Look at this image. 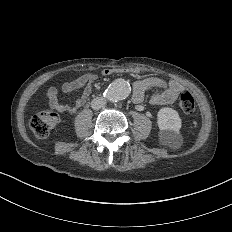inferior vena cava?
Here are the masks:
<instances>
[{"label": "inferior vena cava", "instance_id": "inferior-vena-cava-1", "mask_svg": "<svg viewBox=\"0 0 232 232\" xmlns=\"http://www.w3.org/2000/svg\"><path fill=\"white\" fill-rule=\"evenodd\" d=\"M107 106V101L103 97H98L92 100L91 107L95 111H101Z\"/></svg>", "mask_w": 232, "mask_h": 232}]
</instances>
